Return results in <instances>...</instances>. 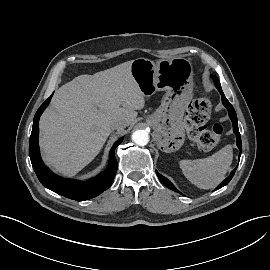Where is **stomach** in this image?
<instances>
[{"mask_svg":"<svg viewBox=\"0 0 270 270\" xmlns=\"http://www.w3.org/2000/svg\"><path fill=\"white\" fill-rule=\"evenodd\" d=\"M131 74L145 96L165 91L159 108L147 122L156 133L157 146L163 152L177 151L184 143L183 116L192 99L193 69L185 58H146L132 61Z\"/></svg>","mask_w":270,"mask_h":270,"instance_id":"stomach-1","label":"stomach"}]
</instances>
